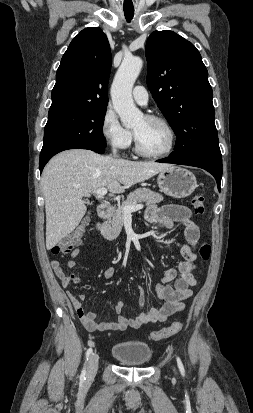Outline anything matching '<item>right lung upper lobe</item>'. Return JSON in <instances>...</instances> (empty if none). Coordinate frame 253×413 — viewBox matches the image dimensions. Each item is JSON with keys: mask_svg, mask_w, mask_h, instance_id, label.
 <instances>
[{"mask_svg": "<svg viewBox=\"0 0 253 413\" xmlns=\"http://www.w3.org/2000/svg\"><path fill=\"white\" fill-rule=\"evenodd\" d=\"M110 71L111 50L104 32L99 27L82 30L61 59L48 115L107 108Z\"/></svg>", "mask_w": 253, "mask_h": 413, "instance_id": "1", "label": "right lung upper lobe"}]
</instances>
